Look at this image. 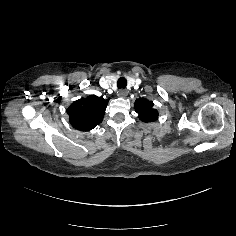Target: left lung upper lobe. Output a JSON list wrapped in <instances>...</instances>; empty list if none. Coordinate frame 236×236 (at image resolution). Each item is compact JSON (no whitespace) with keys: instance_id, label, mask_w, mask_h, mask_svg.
<instances>
[{"instance_id":"1","label":"left lung upper lobe","mask_w":236,"mask_h":236,"mask_svg":"<svg viewBox=\"0 0 236 236\" xmlns=\"http://www.w3.org/2000/svg\"><path fill=\"white\" fill-rule=\"evenodd\" d=\"M153 102L144 98L137 99L134 103L139 119L145 123L153 122L158 118V111L153 108Z\"/></svg>"}]
</instances>
